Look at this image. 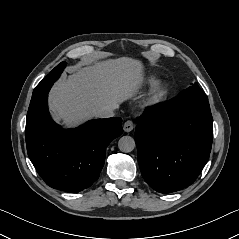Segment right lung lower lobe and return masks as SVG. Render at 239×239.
Returning <instances> with one entry per match:
<instances>
[{"instance_id":"98d812e1","label":"right lung lower lobe","mask_w":239,"mask_h":239,"mask_svg":"<svg viewBox=\"0 0 239 239\" xmlns=\"http://www.w3.org/2000/svg\"><path fill=\"white\" fill-rule=\"evenodd\" d=\"M52 85L33 92L25 128L28 156L47 185L79 192L99 178L107 146L122 134V120L96 119L64 130L48 112L47 98Z\"/></svg>"}]
</instances>
